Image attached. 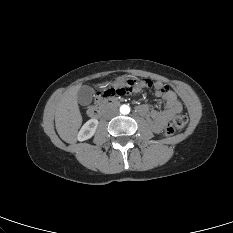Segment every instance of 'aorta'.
<instances>
[{
	"label": "aorta",
	"instance_id": "1",
	"mask_svg": "<svg viewBox=\"0 0 233 233\" xmlns=\"http://www.w3.org/2000/svg\"><path fill=\"white\" fill-rule=\"evenodd\" d=\"M130 112V107L128 105H122L120 107V113L123 115L129 114Z\"/></svg>",
	"mask_w": 233,
	"mask_h": 233
}]
</instances>
